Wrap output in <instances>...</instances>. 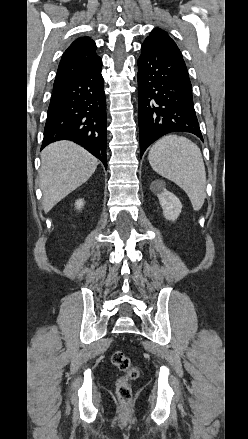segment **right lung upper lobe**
I'll return each mask as SVG.
<instances>
[{
    "label": "right lung upper lobe",
    "mask_w": 248,
    "mask_h": 439,
    "mask_svg": "<svg viewBox=\"0 0 248 439\" xmlns=\"http://www.w3.org/2000/svg\"><path fill=\"white\" fill-rule=\"evenodd\" d=\"M96 44L89 37L76 39L62 55L54 85L75 77L101 62Z\"/></svg>",
    "instance_id": "right-lung-upper-lobe-1"
}]
</instances>
